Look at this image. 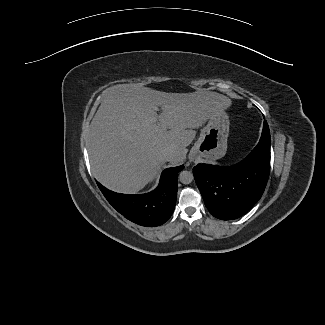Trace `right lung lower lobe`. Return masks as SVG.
<instances>
[{
	"label": "right lung lower lobe",
	"mask_w": 325,
	"mask_h": 325,
	"mask_svg": "<svg viewBox=\"0 0 325 325\" xmlns=\"http://www.w3.org/2000/svg\"><path fill=\"white\" fill-rule=\"evenodd\" d=\"M183 168L184 165L163 170L158 187L146 194H119L97 184L108 202L125 218L141 226L155 227L165 223L174 211L178 172Z\"/></svg>",
	"instance_id": "1"
}]
</instances>
